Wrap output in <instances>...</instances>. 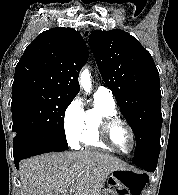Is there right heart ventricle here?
<instances>
[{"label": "right heart ventricle", "mask_w": 178, "mask_h": 195, "mask_svg": "<svg viewBox=\"0 0 178 195\" xmlns=\"http://www.w3.org/2000/svg\"><path fill=\"white\" fill-rule=\"evenodd\" d=\"M94 106L84 112V130L80 142L87 147L110 150L100 139L102 120L107 116H117L116 104L102 96L94 97Z\"/></svg>", "instance_id": "1"}]
</instances>
